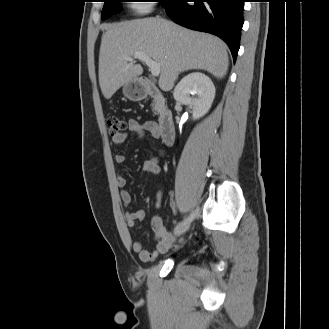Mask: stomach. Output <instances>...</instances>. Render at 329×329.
I'll use <instances>...</instances> for the list:
<instances>
[{"label": "stomach", "instance_id": "stomach-1", "mask_svg": "<svg viewBox=\"0 0 329 329\" xmlns=\"http://www.w3.org/2000/svg\"><path fill=\"white\" fill-rule=\"evenodd\" d=\"M148 93L147 83L139 78H134L123 86V94L131 101H141Z\"/></svg>", "mask_w": 329, "mask_h": 329}]
</instances>
